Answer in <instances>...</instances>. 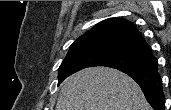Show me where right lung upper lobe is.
<instances>
[{"mask_svg": "<svg viewBox=\"0 0 171 110\" xmlns=\"http://www.w3.org/2000/svg\"><path fill=\"white\" fill-rule=\"evenodd\" d=\"M102 42L134 49L147 56H152L150 46L146 43L136 26L123 18H111L101 21L72 45Z\"/></svg>", "mask_w": 171, "mask_h": 110, "instance_id": "right-lung-upper-lobe-1", "label": "right lung upper lobe"}]
</instances>
